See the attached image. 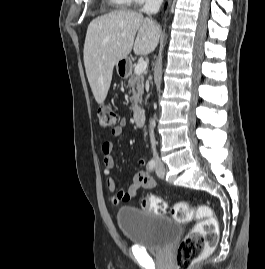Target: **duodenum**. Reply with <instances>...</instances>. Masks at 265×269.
<instances>
[{
  "mask_svg": "<svg viewBox=\"0 0 265 269\" xmlns=\"http://www.w3.org/2000/svg\"><path fill=\"white\" fill-rule=\"evenodd\" d=\"M123 74L126 72L123 66L122 68ZM134 121L137 125H143L145 122V110L144 109H137L133 114Z\"/></svg>",
  "mask_w": 265,
  "mask_h": 269,
  "instance_id": "obj_1",
  "label": "duodenum"
}]
</instances>
